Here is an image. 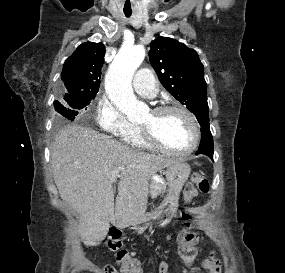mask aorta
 I'll use <instances>...</instances> for the list:
<instances>
[{
    "label": "aorta",
    "mask_w": 285,
    "mask_h": 273,
    "mask_svg": "<svg viewBox=\"0 0 285 273\" xmlns=\"http://www.w3.org/2000/svg\"><path fill=\"white\" fill-rule=\"evenodd\" d=\"M144 58L142 45L123 46L105 76V90L109 99L130 119L138 118L147 111V106L136 99L131 87L134 72Z\"/></svg>",
    "instance_id": "1"
}]
</instances>
